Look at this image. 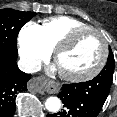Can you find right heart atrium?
<instances>
[{
	"label": "right heart atrium",
	"mask_w": 117,
	"mask_h": 117,
	"mask_svg": "<svg viewBox=\"0 0 117 117\" xmlns=\"http://www.w3.org/2000/svg\"><path fill=\"white\" fill-rule=\"evenodd\" d=\"M18 52L25 68L33 70L49 55L51 50L44 43L39 25L29 22L18 35Z\"/></svg>",
	"instance_id": "1"
}]
</instances>
